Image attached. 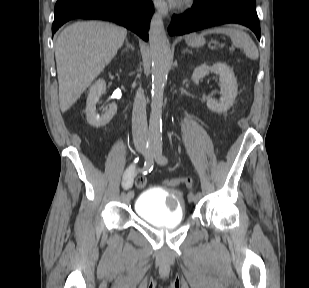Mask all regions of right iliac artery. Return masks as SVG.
Masks as SVG:
<instances>
[{"label": "right iliac artery", "mask_w": 309, "mask_h": 288, "mask_svg": "<svg viewBox=\"0 0 309 288\" xmlns=\"http://www.w3.org/2000/svg\"><path fill=\"white\" fill-rule=\"evenodd\" d=\"M155 147V139H148L146 143V156H145V163L143 164L144 170H148V172L152 171L153 165H154V160H153V149ZM128 195L129 197H134V192L133 190H128Z\"/></svg>", "instance_id": "obj_1"}]
</instances>
